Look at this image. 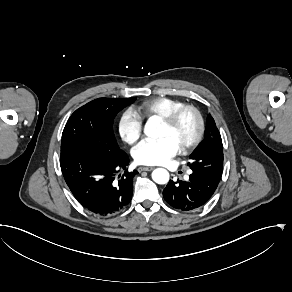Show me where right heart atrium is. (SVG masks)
I'll return each instance as SVG.
<instances>
[{"label":"right heart atrium","instance_id":"right-heart-atrium-1","mask_svg":"<svg viewBox=\"0 0 292 292\" xmlns=\"http://www.w3.org/2000/svg\"><path fill=\"white\" fill-rule=\"evenodd\" d=\"M143 118L137 110L128 107L122 111L118 119V134L127 144H135L142 136Z\"/></svg>","mask_w":292,"mask_h":292}]
</instances>
